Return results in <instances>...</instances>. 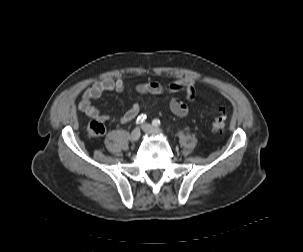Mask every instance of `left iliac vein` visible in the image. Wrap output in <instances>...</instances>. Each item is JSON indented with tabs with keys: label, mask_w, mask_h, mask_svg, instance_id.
Wrapping results in <instances>:
<instances>
[{
	"label": "left iliac vein",
	"mask_w": 303,
	"mask_h": 252,
	"mask_svg": "<svg viewBox=\"0 0 303 252\" xmlns=\"http://www.w3.org/2000/svg\"><path fill=\"white\" fill-rule=\"evenodd\" d=\"M142 130L148 134H161L163 131L159 128L153 127L151 124L145 123L142 125Z\"/></svg>",
	"instance_id": "left-iliac-vein-1"
}]
</instances>
